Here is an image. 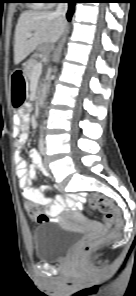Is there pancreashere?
<instances>
[{
    "instance_id": "pancreas-1",
    "label": "pancreas",
    "mask_w": 136,
    "mask_h": 296,
    "mask_svg": "<svg viewBox=\"0 0 136 296\" xmlns=\"http://www.w3.org/2000/svg\"><path fill=\"white\" fill-rule=\"evenodd\" d=\"M36 64H37V61L35 59H30L25 63L24 72L29 80L32 79V76H33L32 72Z\"/></svg>"
}]
</instances>
